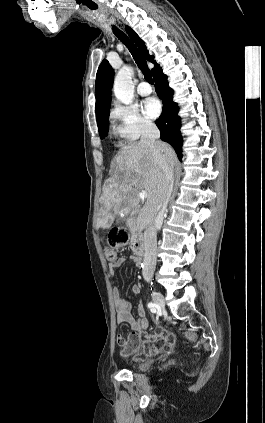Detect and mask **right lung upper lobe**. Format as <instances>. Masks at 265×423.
I'll use <instances>...</instances> for the list:
<instances>
[{
    "label": "right lung upper lobe",
    "instance_id": "right-lung-upper-lobe-1",
    "mask_svg": "<svg viewBox=\"0 0 265 423\" xmlns=\"http://www.w3.org/2000/svg\"><path fill=\"white\" fill-rule=\"evenodd\" d=\"M126 32L130 38L135 42L138 48L143 52L146 59L152 62L155 67L152 70V74L159 68V65L153 60L154 57L149 55L146 49L145 43L138 37L137 33L134 32L129 26H126ZM114 71L107 60H103L99 66L96 75V117L97 123L109 114L110 102H111V88L113 84Z\"/></svg>",
    "mask_w": 265,
    "mask_h": 423
}]
</instances>
